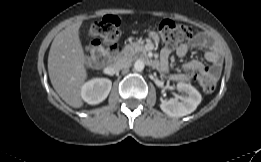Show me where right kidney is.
Returning a JSON list of instances; mask_svg holds the SVG:
<instances>
[{
  "label": "right kidney",
  "instance_id": "right-kidney-1",
  "mask_svg": "<svg viewBox=\"0 0 261 162\" xmlns=\"http://www.w3.org/2000/svg\"><path fill=\"white\" fill-rule=\"evenodd\" d=\"M111 87V80L107 78H94L82 86L81 97L90 105L99 104L107 98Z\"/></svg>",
  "mask_w": 261,
  "mask_h": 162
}]
</instances>
